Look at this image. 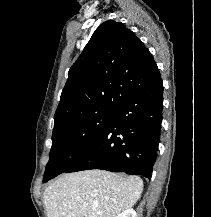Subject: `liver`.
Here are the masks:
<instances>
[{
    "label": "liver",
    "instance_id": "obj_1",
    "mask_svg": "<svg viewBox=\"0 0 211 217\" xmlns=\"http://www.w3.org/2000/svg\"><path fill=\"white\" fill-rule=\"evenodd\" d=\"M143 191L138 176L104 170L68 173L44 192L47 217H117L132 208Z\"/></svg>",
    "mask_w": 211,
    "mask_h": 217
}]
</instances>
